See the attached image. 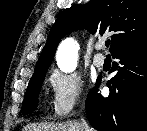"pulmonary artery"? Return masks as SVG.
Masks as SVG:
<instances>
[{
    "label": "pulmonary artery",
    "mask_w": 147,
    "mask_h": 131,
    "mask_svg": "<svg viewBox=\"0 0 147 131\" xmlns=\"http://www.w3.org/2000/svg\"><path fill=\"white\" fill-rule=\"evenodd\" d=\"M103 46H104V42H99L96 45V49L100 50V49L103 48ZM93 63L98 68L102 67L105 63V56L101 53L95 54L94 57H93Z\"/></svg>",
    "instance_id": "e3ab8cb5"
}]
</instances>
